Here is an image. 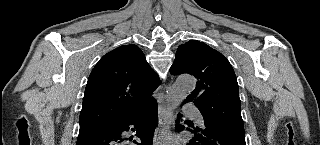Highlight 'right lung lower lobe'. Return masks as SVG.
<instances>
[{
	"label": "right lung lower lobe",
	"instance_id": "right-lung-lower-lobe-1",
	"mask_svg": "<svg viewBox=\"0 0 320 145\" xmlns=\"http://www.w3.org/2000/svg\"><path fill=\"white\" fill-rule=\"evenodd\" d=\"M133 125L135 129L130 128ZM157 120V102L146 111L129 120L118 123L97 124L80 128L77 145H134L124 137V132L137 131V137L141 143L133 141L136 145H152Z\"/></svg>",
	"mask_w": 320,
	"mask_h": 145
}]
</instances>
